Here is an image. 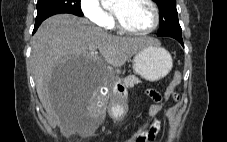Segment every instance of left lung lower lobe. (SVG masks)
<instances>
[{"label": "left lung lower lobe", "instance_id": "left-lung-lower-lobe-1", "mask_svg": "<svg viewBox=\"0 0 227 142\" xmlns=\"http://www.w3.org/2000/svg\"><path fill=\"white\" fill-rule=\"evenodd\" d=\"M158 36H168V37H172V38H175L176 40H178L182 46H184L183 44V40H182V36H176V35H173V34H164V35H159L157 33Z\"/></svg>", "mask_w": 227, "mask_h": 142}]
</instances>
